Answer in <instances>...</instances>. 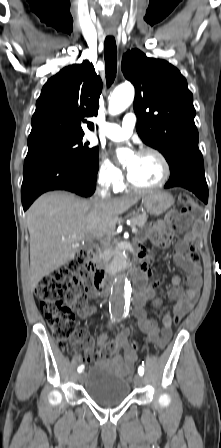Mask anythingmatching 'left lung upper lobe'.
Listing matches in <instances>:
<instances>
[{
    "label": "left lung upper lobe",
    "mask_w": 221,
    "mask_h": 448,
    "mask_svg": "<svg viewBox=\"0 0 221 448\" xmlns=\"http://www.w3.org/2000/svg\"><path fill=\"white\" fill-rule=\"evenodd\" d=\"M121 68L135 87L136 130L142 141L161 152L169 166L200 152L193 95L180 71L138 49L124 54Z\"/></svg>",
    "instance_id": "obj_1"
}]
</instances>
